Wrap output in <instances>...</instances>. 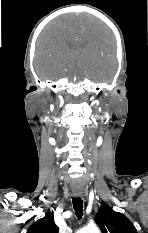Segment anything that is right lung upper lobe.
<instances>
[{
	"label": "right lung upper lobe",
	"mask_w": 148,
	"mask_h": 233,
	"mask_svg": "<svg viewBox=\"0 0 148 233\" xmlns=\"http://www.w3.org/2000/svg\"><path fill=\"white\" fill-rule=\"evenodd\" d=\"M58 230L59 228L54 222V215L47 213L44 218L31 225L27 233H58Z\"/></svg>",
	"instance_id": "1"
}]
</instances>
